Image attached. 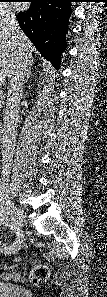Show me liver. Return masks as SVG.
Wrapping results in <instances>:
<instances>
[{
	"mask_svg": "<svg viewBox=\"0 0 107 297\" xmlns=\"http://www.w3.org/2000/svg\"><path fill=\"white\" fill-rule=\"evenodd\" d=\"M19 44L31 57L35 47L22 31L19 34V39H12L5 31L1 32L0 30V74L9 75L14 65Z\"/></svg>",
	"mask_w": 107,
	"mask_h": 297,
	"instance_id": "1",
	"label": "liver"
}]
</instances>
